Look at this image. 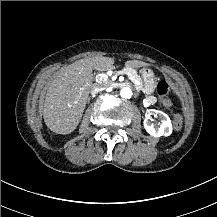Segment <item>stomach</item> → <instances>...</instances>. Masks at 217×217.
<instances>
[{"label": "stomach", "mask_w": 217, "mask_h": 217, "mask_svg": "<svg viewBox=\"0 0 217 217\" xmlns=\"http://www.w3.org/2000/svg\"><path fill=\"white\" fill-rule=\"evenodd\" d=\"M140 72L143 80L142 91L144 94L150 95L155 91L157 86L155 74L152 69L146 67L142 68Z\"/></svg>", "instance_id": "stomach-1"}]
</instances>
